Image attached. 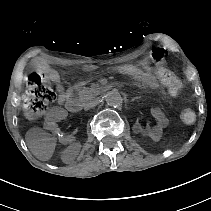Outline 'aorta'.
Returning a JSON list of instances; mask_svg holds the SVG:
<instances>
[{
  "label": "aorta",
  "instance_id": "762f6f07",
  "mask_svg": "<svg viewBox=\"0 0 211 211\" xmlns=\"http://www.w3.org/2000/svg\"><path fill=\"white\" fill-rule=\"evenodd\" d=\"M105 99H106L107 104L112 107H119L122 105V102H123L120 93L117 91H109L106 94Z\"/></svg>",
  "mask_w": 211,
  "mask_h": 211
}]
</instances>
